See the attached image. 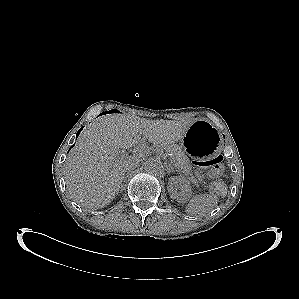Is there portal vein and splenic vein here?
I'll return each instance as SVG.
<instances>
[{
    "label": "portal vein and splenic vein",
    "mask_w": 299,
    "mask_h": 299,
    "mask_svg": "<svg viewBox=\"0 0 299 299\" xmlns=\"http://www.w3.org/2000/svg\"><path fill=\"white\" fill-rule=\"evenodd\" d=\"M142 150H144L143 146H140V147L137 148V151H142ZM122 157H124V155H122Z\"/></svg>",
    "instance_id": "18ae733b"
}]
</instances>
